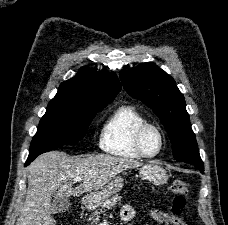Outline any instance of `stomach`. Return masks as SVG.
I'll list each match as a JSON object with an SVG mask.
<instances>
[{
	"instance_id": "1",
	"label": "stomach",
	"mask_w": 228,
	"mask_h": 225,
	"mask_svg": "<svg viewBox=\"0 0 228 225\" xmlns=\"http://www.w3.org/2000/svg\"><path fill=\"white\" fill-rule=\"evenodd\" d=\"M139 173L141 177L147 179V181H152L154 185H164L167 183L169 177L163 169V167H158L155 163H149V165H143L141 169H139ZM124 187V179L121 177H114L111 183L102 187V189H98V191H94V193H89L84 197V205L87 209H92V207H100L104 201H109L110 197L113 195H118L119 191Z\"/></svg>"
}]
</instances>
